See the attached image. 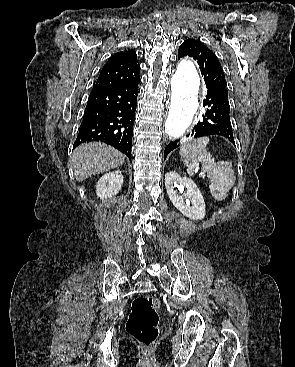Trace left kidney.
<instances>
[{"mask_svg": "<svg viewBox=\"0 0 295 367\" xmlns=\"http://www.w3.org/2000/svg\"><path fill=\"white\" fill-rule=\"evenodd\" d=\"M167 194L173 205L191 220H202L205 217V202L203 196L194 181L187 177H181L177 172L170 171L165 175ZM186 188L182 195L177 194Z\"/></svg>", "mask_w": 295, "mask_h": 367, "instance_id": "obj_1", "label": "left kidney"}]
</instances>
